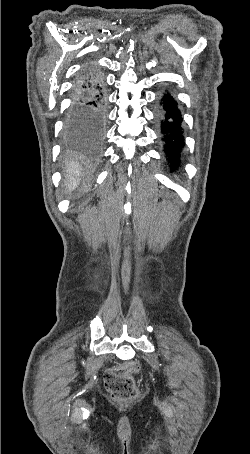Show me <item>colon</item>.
Returning <instances> with one entry per match:
<instances>
[{"instance_id":"obj_1","label":"colon","mask_w":250,"mask_h":454,"mask_svg":"<svg viewBox=\"0 0 250 454\" xmlns=\"http://www.w3.org/2000/svg\"><path fill=\"white\" fill-rule=\"evenodd\" d=\"M139 364L131 361L109 369L105 374V385L115 402H125L139 397L134 375Z\"/></svg>"}]
</instances>
